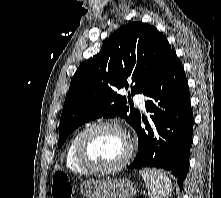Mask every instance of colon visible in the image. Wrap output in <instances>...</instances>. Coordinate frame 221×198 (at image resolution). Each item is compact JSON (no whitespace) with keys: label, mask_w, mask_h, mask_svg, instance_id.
<instances>
[{"label":"colon","mask_w":221,"mask_h":198,"mask_svg":"<svg viewBox=\"0 0 221 198\" xmlns=\"http://www.w3.org/2000/svg\"><path fill=\"white\" fill-rule=\"evenodd\" d=\"M72 185L63 172H56L52 178L51 194L53 198H72Z\"/></svg>","instance_id":"1"}]
</instances>
